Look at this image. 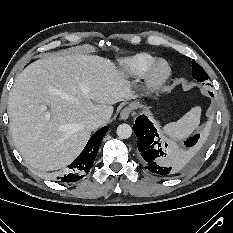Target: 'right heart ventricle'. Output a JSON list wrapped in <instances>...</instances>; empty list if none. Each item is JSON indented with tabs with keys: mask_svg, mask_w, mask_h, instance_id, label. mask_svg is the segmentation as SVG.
Instances as JSON below:
<instances>
[{
	"mask_svg": "<svg viewBox=\"0 0 233 233\" xmlns=\"http://www.w3.org/2000/svg\"><path fill=\"white\" fill-rule=\"evenodd\" d=\"M156 61V58L148 53H137L120 61L122 72L129 77L143 75Z\"/></svg>",
	"mask_w": 233,
	"mask_h": 233,
	"instance_id": "right-heart-ventricle-1",
	"label": "right heart ventricle"
}]
</instances>
